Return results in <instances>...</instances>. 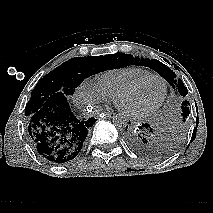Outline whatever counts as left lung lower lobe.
Returning <instances> with one entry per match:
<instances>
[{"mask_svg":"<svg viewBox=\"0 0 213 213\" xmlns=\"http://www.w3.org/2000/svg\"><path fill=\"white\" fill-rule=\"evenodd\" d=\"M127 128L125 139L135 153L147 158L164 157L160 153V144L164 134L155 125L145 123L138 127Z\"/></svg>","mask_w":213,"mask_h":213,"instance_id":"0a47b994","label":"left lung lower lobe"}]
</instances>
